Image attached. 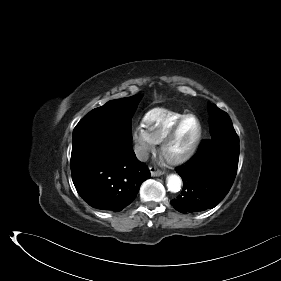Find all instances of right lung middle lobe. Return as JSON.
<instances>
[{
  "label": "right lung middle lobe",
  "instance_id": "1",
  "mask_svg": "<svg viewBox=\"0 0 281 281\" xmlns=\"http://www.w3.org/2000/svg\"><path fill=\"white\" fill-rule=\"evenodd\" d=\"M142 96L111 100L84 116L73 131L72 147L83 142L132 139L131 118Z\"/></svg>",
  "mask_w": 281,
  "mask_h": 281
}]
</instances>
